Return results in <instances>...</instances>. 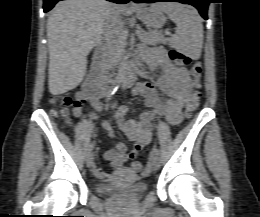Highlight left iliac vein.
Instances as JSON below:
<instances>
[{
    "mask_svg": "<svg viewBox=\"0 0 260 217\" xmlns=\"http://www.w3.org/2000/svg\"><path fill=\"white\" fill-rule=\"evenodd\" d=\"M150 166L153 169H158L160 167V158L156 154H152L150 157Z\"/></svg>",
    "mask_w": 260,
    "mask_h": 217,
    "instance_id": "obj_1",
    "label": "left iliac vein"
}]
</instances>
